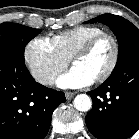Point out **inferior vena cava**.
Instances as JSON below:
<instances>
[{
    "mask_svg": "<svg viewBox=\"0 0 139 139\" xmlns=\"http://www.w3.org/2000/svg\"><path fill=\"white\" fill-rule=\"evenodd\" d=\"M54 79V76L50 73H43L39 77V82L42 84H51Z\"/></svg>",
    "mask_w": 139,
    "mask_h": 139,
    "instance_id": "602c4592",
    "label": "inferior vena cava"
}]
</instances>
